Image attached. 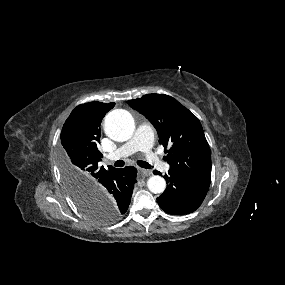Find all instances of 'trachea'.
I'll list each match as a JSON object with an SVG mask.
<instances>
[{
    "label": "trachea",
    "instance_id": "trachea-1",
    "mask_svg": "<svg viewBox=\"0 0 285 285\" xmlns=\"http://www.w3.org/2000/svg\"><path fill=\"white\" fill-rule=\"evenodd\" d=\"M124 164H125V162L123 160H117V161L114 162V166L115 167H123ZM137 164L140 167H142V168L150 169L152 167L148 162H145V161H142V160H138Z\"/></svg>",
    "mask_w": 285,
    "mask_h": 285
}]
</instances>
